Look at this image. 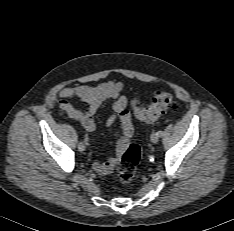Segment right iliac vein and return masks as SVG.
<instances>
[{
	"mask_svg": "<svg viewBox=\"0 0 234 231\" xmlns=\"http://www.w3.org/2000/svg\"><path fill=\"white\" fill-rule=\"evenodd\" d=\"M78 150H79L80 152L85 151V145H84V143L80 142V143L78 144Z\"/></svg>",
	"mask_w": 234,
	"mask_h": 231,
	"instance_id": "obj_1",
	"label": "right iliac vein"
}]
</instances>
